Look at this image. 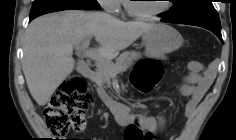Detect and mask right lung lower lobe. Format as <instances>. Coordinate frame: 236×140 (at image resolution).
<instances>
[{
    "label": "right lung lower lobe",
    "mask_w": 236,
    "mask_h": 140,
    "mask_svg": "<svg viewBox=\"0 0 236 140\" xmlns=\"http://www.w3.org/2000/svg\"><path fill=\"white\" fill-rule=\"evenodd\" d=\"M35 17H29V21H31L32 19H34Z\"/></svg>",
    "instance_id": "obj_1"
}]
</instances>
